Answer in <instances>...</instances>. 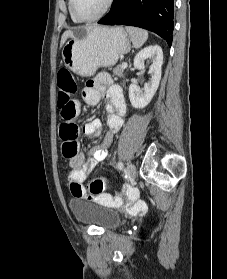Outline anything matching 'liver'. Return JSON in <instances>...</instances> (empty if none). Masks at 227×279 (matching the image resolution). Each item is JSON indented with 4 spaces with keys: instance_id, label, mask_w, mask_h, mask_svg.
Returning a JSON list of instances; mask_svg holds the SVG:
<instances>
[{
    "instance_id": "obj_1",
    "label": "liver",
    "mask_w": 227,
    "mask_h": 279,
    "mask_svg": "<svg viewBox=\"0 0 227 279\" xmlns=\"http://www.w3.org/2000/svg\"><path fill=\"white\" fill-rule=\"evenodd\" d=\"M96 26H87L85 27L86 29H92ZM74 35L72 30H67L63 33L62 37H61V41H60V47H62L64 45V43L67 41L68 38H72Z\"/></svg>"
}]
</instances>
